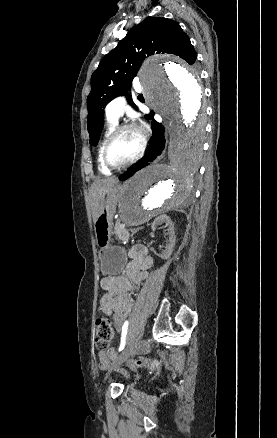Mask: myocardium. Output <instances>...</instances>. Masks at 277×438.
I'll list each match as a JSON object with an SVG mask.
<instances>
[{
	"label": "myocardium",
	"mask_w": 277,
	"mask_h": 438,
	"mask_svg": "<svg viewBox=\"0 0 277 438\" xmlns=\"http://www.w3.org/2000/svg\"><path fill=\"white\" fill-rule=\"evenodd\" d=\"M126 131H131L134 132L140 141V146H139V150L137 152V154L129 161L120 164V165H114L109 161L108 158V151L109 148L112 144V142L122 133L126 132ZM146 147V138L143 134V132L140 130V128L132 123H127V124H122L118 127L115 128L114 131L111 132V134L109 135V137L107 138L103 149H102V162L103 164L109 169V170H121V169H125L131 165H133L134 163H136L142 156L144 153Z\"/></svg>",
	"instance_id": "1"
}]
</instances>
